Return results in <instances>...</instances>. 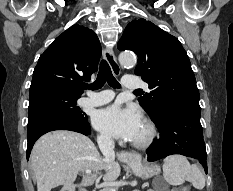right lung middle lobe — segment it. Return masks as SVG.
I'll return each instance as SVG.
<instances>
[{"mask_svg":"<svg viewBox=\"0 0 233 191\" xmlns=\"http://www.w3.org/2000/svg\"><path fill=\"white\" fill-rule=\"evenodd\" d=\"M79 97H71L56 92L41 93L29 100V117H32L39 111H54L74 118L86 120L85 113L76 106Z\"/></svg>","mask_w":233,"mask_h":191,"instance_id":"1","label":"right lung middle lobe"}]
</instances>
